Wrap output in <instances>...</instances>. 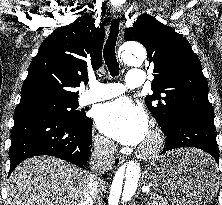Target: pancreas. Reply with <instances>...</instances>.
<instances>
[{
	"mask_svg": "<svg viewBox=\"0 0 222 205\" xmlns=\"http://www.w3.org/2000/svg\"><path fill=\"white\" fill-rule=\"evenodd\" d=\"M150 200L151 205H168V202L158 195L151 196Z\"/></svg>",
	"mask_w": 222,
	"mask_h": 205,
	"instance_id": "pancreas-1",
	"label": "pancreas"
}]
</instances>
